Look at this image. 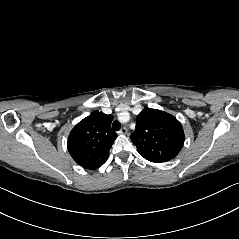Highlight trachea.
I'll return each instance as SVG.
<instances>
[{
  "mask_svg": "<svg viewBox=\"0 0 239 239\" xmlns=\"http://www.w3.org/2000/svg\"><path fill=\"white\" fill-rule=\"evenodd\" d=\"M112 128H113V130H115V131H119L120 128H121L120 122L117 121V120H115V121L113 122V124H112Z\"/></svg>",
  "mask_w": 239,
  "mask_h": 239,
  "instance_id": "3493384b",
  "label": "trachea"
}]
</instances>
